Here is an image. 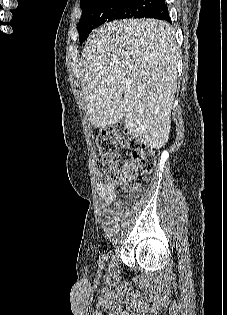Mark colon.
<instances>
[{"label": "colon", "instance_id": "5ec220e1", "mask_svg": "<svg viewBox=\"0 0 227 315\" xmlns=\"http://www.w3.org/2000/svg\"><path fill=\"white\" fill-rule=\"evenodd\" d=\"M96 144L101 155L96 164L97 178L102 183H108L115 177L120 149L130 151L124 167L127 176L148 174L154 169L157 149L140 142L121 124L105 127L97 136Z\"/></svg>", "mask_w": 227, "mask_h": 315}]
</instances>
